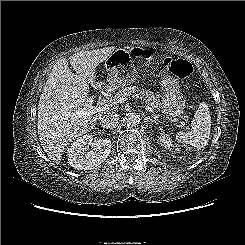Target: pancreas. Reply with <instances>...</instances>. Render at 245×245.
<instances>
[{"label":"pancreas","mask_w":245,"mask_h":245,"mask_svg":"<svg viewBox=\"0 0 245 245\" xmlns=\"http://www.w3.org/2000/svg\"><path fill=\"white\" fill-rule=\"evenodd\" d=\"M135 96L142 99L147 105L151 106L154 109H161L162 108V101L160 100L159 96H155L153 92L145 90L144 88H138L136 86H130L128 88L120 89L112 98V102H116L118 99L125 97V96Z\"/></svg>","instance_id":"obj_1"}]
</instances>
